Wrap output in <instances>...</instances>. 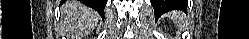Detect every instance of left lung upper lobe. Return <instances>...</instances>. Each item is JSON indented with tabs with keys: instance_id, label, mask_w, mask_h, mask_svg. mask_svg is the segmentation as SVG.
I'll return each mask as SVG.
<instances>
[{
	"instance_id": "5c2ea615",
	"label": "left lung upper lobe",
	"mask_w": 249,
	"mask_h": 39,
	"mask_svg": "<svg viewBox=\"0 0 249 39\" xmlns=\"http://www.w3.org/2000/svg\"><path fill=\"white\" fill-rule=\"evenodd\" d=\"M179 4H181V2H176V3L173 4V7H176Z\"/></svg>"
}]
</instances>
